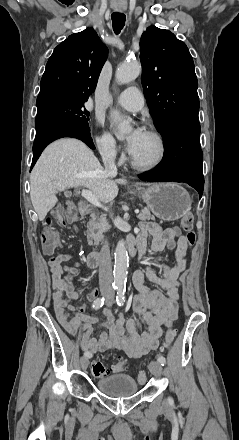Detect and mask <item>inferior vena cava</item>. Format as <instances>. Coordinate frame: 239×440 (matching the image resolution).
<instances>
[{
	"mask_svg": "<svg viewBox=\"0 0 239 440\" xmlns=\"http://www.w3.org/2000/svg\"><path fill=\"white\" fill-rule=\"evenodd\" d=\"M103 164L105 166V172L110 176H116L117 168L115 164V152L114 150H102L101 152ZM112 262L110 248L107 240H105L101 252L99 262V286L100 292H102L103 298H106L105 305L110 307L113 305V299H115L112 288Z\"/></svg>",
	"mask_w": 239,
	"mask_h": 440,
	"instance_id": "1",
	"label": "inferior vena cava"
}]
</instances>
